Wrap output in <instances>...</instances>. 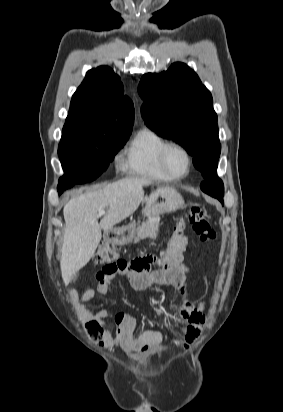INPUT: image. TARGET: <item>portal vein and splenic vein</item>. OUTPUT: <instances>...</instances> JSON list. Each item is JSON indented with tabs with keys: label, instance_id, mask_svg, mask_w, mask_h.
<instances>
[{
	"label": "portal vein and splenic vein",
	"instance_id": "1",
	"mask_svg": "<svg viewBox=\"0 0 283 412\" xmlns=\"http://www.w3.org/2000/svg\"><path fill=\"white\" fill-rule=\"evenodd\" d=\"M106 213V211L103 209V210H100L99 211V213H98V216L99 217H101L102 215H104Z\"/></svg>",
	"mask_w": 283,
	"mask_h": 412
}]
</instances>
